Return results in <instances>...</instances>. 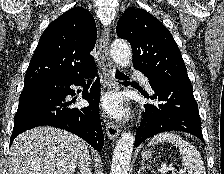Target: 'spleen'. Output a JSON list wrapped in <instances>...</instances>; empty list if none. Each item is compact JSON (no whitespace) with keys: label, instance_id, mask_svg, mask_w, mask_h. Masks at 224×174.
Returning a JSON list of instances; mask_svg holds the SVG:
<instances>
[{"label":"spleen","instance_id":"obj_1","mask_svg":"<svg viewBox=\"0 0 224 174\" xmlns=\"http://www.w3.org/2000/svg\"><path fill=\"white\" fill-rule=\"evenodd\" d=\"M166 142L179 148L182 165L187 170L188 174H206L204 162L200 153L193 145L183 140L178 135L169 132L159 133L150 140L148 145L155 146L158 143Z\"/></svg>","mask_w":224,"mask_h":174}]
</instances>
